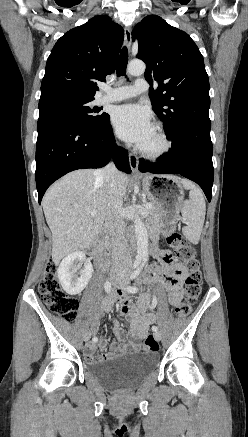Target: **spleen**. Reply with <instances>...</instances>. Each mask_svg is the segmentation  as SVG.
Returning a JSON list of instances; mask_svg holds the SVG:
<instances>
[{
  "label": "spleen",
  "mask_w": 248,
  "mask_h": 437,
  "mask_svg": "<svg viewBox=\"0 0 248 437\" xmlns=\"http://www.w3.org/2000/svg\"><path fill=\"white\" fill-rule=\"evenodd\" d=\"M183 187L189 192V199L185 200L182 205L181 213L183 222L186 224L182 228L184 236L193 244L200 240L205 214L206 204L202 191L191 181L181 179Z\"/></svg>",
  "instance_id": "1"
}]
</instances>
